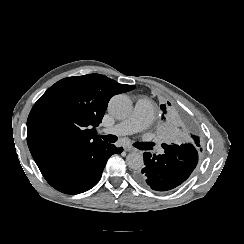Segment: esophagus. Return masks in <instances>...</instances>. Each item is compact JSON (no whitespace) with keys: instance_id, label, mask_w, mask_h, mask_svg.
I'll use <instances>...</instances> for the list:
<instances>
[{"instance_id":"esophagus-1","label":"esophagus","mask_w":244,"mask_h":244,"mask_svg":"<svg viewBox=\"0 0 244 244\" xmlns=\"http://www.w3.org/2000/svg\"><path fill=\"white\" fill-rule=\"evenodd\" d=\"M123 148H124V150H125L126 152H133V151H135L134 148H132V147H130V146H128V145L124 146Z\"/></svg>"}]
</instances>
